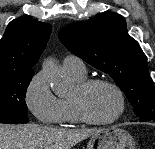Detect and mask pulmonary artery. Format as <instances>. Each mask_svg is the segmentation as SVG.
I'll list each match as a JSON object with an SVG mask.
<instances>
[{"mask_svg": "<svg viewBox=\"0 0 155 149\" xmlns=\"http://www.w3.org/2000/svg\"><path fill=\"white\" fill-rule=\"evenodd\" d=\"M63 70L68 74L78 76L86 75V68L83 60L75 55H68L62 62Z\"/></svg>", "mask_w": 155, "mask_h": 149, "instance_id": "e3ab8cb5", "label": "pulmonary artery"}]
</instances>
